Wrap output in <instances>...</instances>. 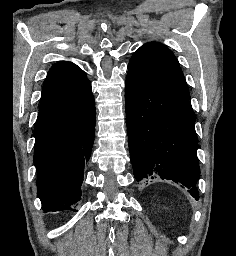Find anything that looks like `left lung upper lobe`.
<instances>
[{"label":"left lung upper lobe","mask_w":236,"mask_h":256,"mask_svg":"<svg viewBox=\"0 0 236 256\" xmlns=\"http://www.w3.org/2000/svg\"><path fill=\"white\" fill-rule=\"evenodd\" d=\"M128 69L186 99H190L184 75L179 63L165 45L149 42L141 46L131 57Z\"/></svg>","instance_id":"1"}]
</instances>
